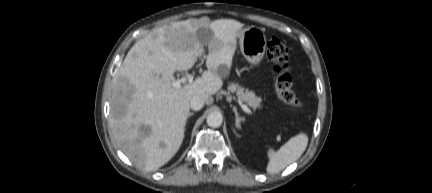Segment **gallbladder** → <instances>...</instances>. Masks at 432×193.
I'll return each mask as SVG.
<instances>
[{
    "mask_svg": "<svg viewBox=\"0 0 432 193\" xmlns=\"http://www.w3.org/2000/svg\"><path fill=\"white\" fill-rule=\"evenodd\" d=\"M201 42H203V40H201ZM118 113L119 114L122 113V109L121 108L119 109Z\"/></svg>",
    "mask_w": 432,
    "mask_h": 193,
    "instance_id": "1",
    "label": "gallbladder"
}]
</instances>
